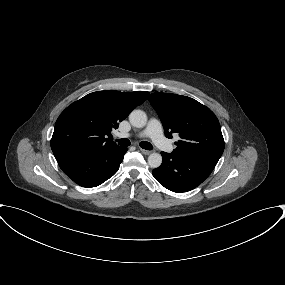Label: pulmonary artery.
Instances as JSON below:
<instances>
[{
	"instance_id": "e3ab8cb5",
	"label": "pulmonary artery",
	"mask_w": 285,
	"mask_h": 285,
	"mask_svg": "<svg viewBox=\"0 0 285 285\" xmlns=\"http://www.w3.org/2000/svg\"><path fill=\"white\" fill-rule=\"evenodd\" d=\"M132 134L129 133H120L119 137L121 138H129ZM138 138L149 137L153 140V142L161 149L165 151H171L172 147L166 138L163 135L162 125L157 119H151L142 132L135 135Z\"/></svg>"
}]
</instances>
